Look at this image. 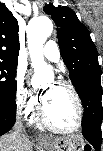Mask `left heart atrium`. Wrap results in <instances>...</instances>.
I'll list each match as a JSON object with an SVG mask.
<instances>
[{
  "label": "left heart atrium",
  "instance_id": "39dd6f15",
  "mask_svg": "<svg viewBox=\"0 0 103 151\" xmlns=\"http://www.w3.org/2000/svg\"><path fill=\"white\" fill-rule=\"evenodd\" d=\"M49 98V92L45 91L41 94L40 99L43 103H46Z\"/></svg>",
  "mask_w": 103,
  "mask_h": 151
}]
</instances>
